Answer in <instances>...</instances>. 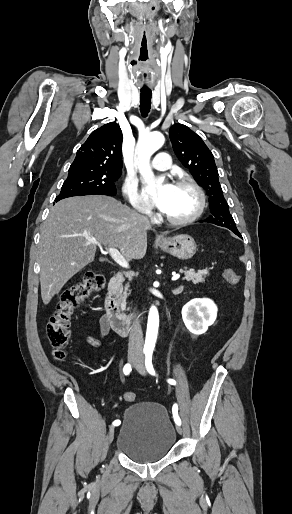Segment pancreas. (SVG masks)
I'll list each match as a JSON object with an SVG mask.
<instances>
[{
	"mask_svg": "<svg viewBox=\"0 0 292 514\" xmlns=\"http://www.w3.org/2000/svg\"><path fill=\"white\" fill-rule=\"evenodd\" d=\"M180 272H184V278L183 280H191L193 284H199V282H205V276H208L209 272L208 270H198V272H195V270H180ZM128 290H125L124 294L120 296L121 300V306H125L126 304V298L129 296L127 294Z\"/></svg>",
	"mask_w": 292,
	"mask_h": 514,
	"instance_id": "obj_1",
	"label": "pancreas"
}]
</instances>
